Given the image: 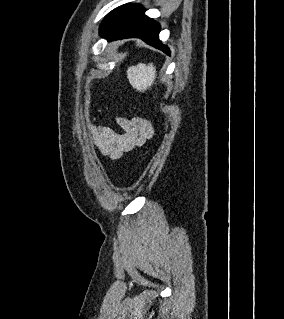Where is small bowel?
Masks as SVG:
<instances>
[{"label":"small bowel","mask_w":284,"mask_h":319,"mask_svg":"<svg viewBox=\"0 0 284 319\" xmlns=\"http://www.w3.org/2000/svg\"><path fill=\"white\" fill-rule=\"evenodd\" d=\"M116 123L121 132L106 126L91 127L95 145L103 156L111 159H118L124 154L131 153L144 145L154 134L151 123L144 118L118 117Z\"/></svg>","instance_id":"1"}]
</instances>
